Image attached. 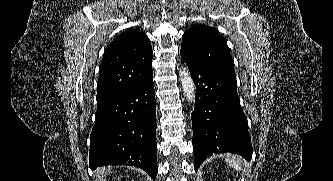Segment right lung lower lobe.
Wrapping results in <instances>:
<instances>
[{"instance_id":"obj_1","label":"right lung lower lobe","mask_w":333,"mask_h":181,"mask_svg":"<svg viewBox=\"0 0 333 181\" xmlns=\"http://www.w3.org/2000/svg\"><path fill=\"white\" fill-rule=\"evenodd\" d=\"M153 77L99 102L90 136L89 166L131 165L157 175Z\"/></svg>"}]
</instances>
